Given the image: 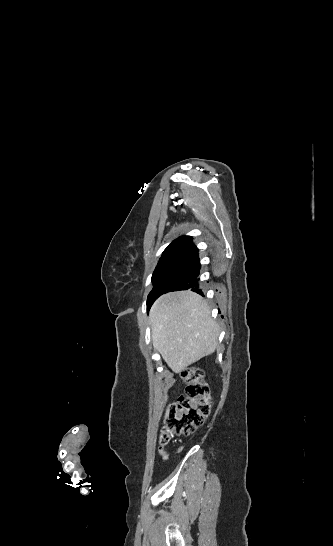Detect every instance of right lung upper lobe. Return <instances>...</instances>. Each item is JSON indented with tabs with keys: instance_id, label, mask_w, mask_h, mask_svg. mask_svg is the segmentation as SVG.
I'll list each match as a JSON object with an SVG mask.
<instances>
[{
	"instance_id": "right-lung-upper-lobe-1",
	"label": "right lung upper lobe",
	"mask_w": 333,
	"mask_h": 546,
	"mask_svg": "<svg viewBox=\"0 0 333 546\" xmlns=\"http://www.w3.org/2000/svg\"><path fill=\"white\" fill-rule=\"evenodd\" d=\"M196 246L192 242V237L182 236L174 240L166 249V251H184L188 252L195 249Z\"/></svg>"
}]
</instances>
